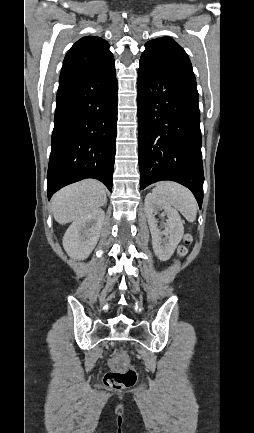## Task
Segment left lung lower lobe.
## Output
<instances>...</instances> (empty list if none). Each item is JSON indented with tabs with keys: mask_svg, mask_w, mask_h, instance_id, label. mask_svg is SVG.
Returning a JSON list of instances; mask_svg holds the SVG:
<instances>
[{
	"mask_svg": "<svg viewBox=\"0 0 254 433\" xmlns=\"http://www.w3.org/2000/svg\"><path fill=\"white\" fill-rule=\"evenodd\" d=\"M140 190L161 180L203 200L200 111L196 80L140 59L137 81Z\"/></svg>",
	"mask_w": 254,
	"mask_h": 433,
	"instance_id": "1",
	"label": "left lung lower lobe"
}]
</instances>
